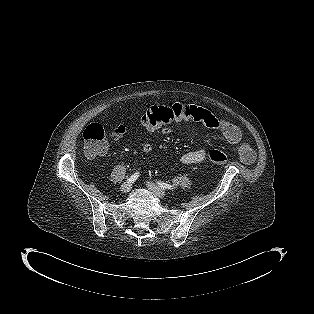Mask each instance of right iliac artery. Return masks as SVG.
<instances>
[{
    "label": "right iliac artery",
    "instance_id": "1",
    "mask_svg": "<svg viewBox=\"0 0 314 314\" xmlns=\"http://www.w3.org/2000/svg\"><path fill=\"white\" fill-rule=\"evenodd\" d=\"M138 177H139V172H136V173H134L132 176H130V177L127 179V182L132 183V182L136 181V179H137Z\"/></svg>",
    "mask_w": 314,
    "mask_h": 314
}]
</instances>
